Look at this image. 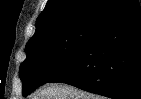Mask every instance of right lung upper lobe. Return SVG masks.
<instances>
[{
	"mask_svg": "<svg viewBox=\"0 0 141 99\" xmlns=\"http://www.w3.org/2000/svg\"><path fill=\"white\" fill-rule=\"evenodd\" d=\"M137 0H48L31 39L76 23L97 21L120 12Z\"/></svg>",
	"mask_w": 141,
	"mask_h": 99,
	"instance_id": "cb5924a9",
	"label": "right lung upper lobe"
}]
</instances>
